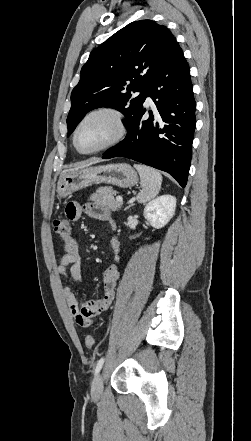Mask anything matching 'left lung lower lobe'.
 <instances>
[{
    "instance_id": "obj_1",
    "label": "left lung lower lobe",
    "mask_w": 251,
    "mask_h": 441,
    "mask_svg": "<svg viewBox=\"0 0 251 441\" xmlns=\"http://www.w3.org/2000/svg\"><path fill=\"white\" fill-rule=\"evenodd\" d=\"M157 112L144 116L143 105L128 124L125 139L102 158L126 157L168 172L185 187L192 156L196 103L189 65L177 44L161 70L147 84ZM145 97V99H146Z\"/></svg>"
}]
</instances>
